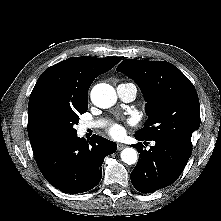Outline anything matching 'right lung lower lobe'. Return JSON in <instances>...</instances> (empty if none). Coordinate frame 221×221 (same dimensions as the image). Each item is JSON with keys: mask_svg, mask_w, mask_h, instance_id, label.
<instances>
[{"mask_svg": "<svg viewBox=\"0 0 221 221\" xmlns=\"http://www.w3.org/2000/svg\"><path fill=\"white\" fill-rule=\"evenodd\" d=\"M116 151V144L94 135L90 140L77 134L54 140L34 151L45 179L65 193H82L94 188L102 177L104 158Z\"/></svg>", "mask_w": 221, "mask_h": 221, "instance_id": "right-lung-lower-lobe-1", "label": "right lung lower lobe"}]
</instances>
